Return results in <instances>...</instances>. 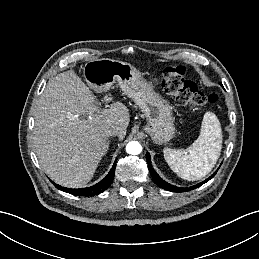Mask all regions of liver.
<instances>
[{
  "mask_svg": "<svg viewBox=\"0 0 259 259\" xmlns=\"http://www.w3.org/2000/svg\"><path fill=\"white\" fill-rule=\"evenodd\" d=\"M34 146L46 174L59 185L87 184L108 150L106 131L120 129L124 139L130 116L116 102L99 110L95 96L73 70L51 79L37 101Z\"/></svg>",
  "mask_w": 259,
  "mask_h": 259,
  "instance_id": "1",
  "label": "liver"
}]
</instances>
